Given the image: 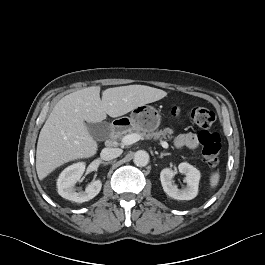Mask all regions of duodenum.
<instances>
[{
	"instance_id": "duodenum-1",
	"label": "duodenum",
	"mask_w": 265,
	"mask_h": 265,
	"mask_svg": "<svg viewBox=\"0 0 265 265\" xmlns=\"http://www.w3.org/2000/svg\"><path fill=\"white\" fill-rule=\"evenodd\" d=\"M128 122L125 121H115L110 128V136L106 141L107 145H112L113 141L124 131L127 127Z\"/></svg>"
}]
</instances>
